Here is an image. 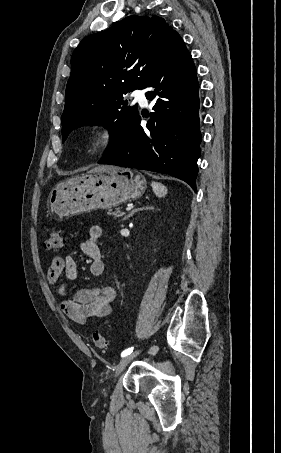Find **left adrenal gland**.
<instances>
[{
    "instance_id": "a2214340",
    "label": "left adrenal gland",
    "mask_w": 281,
    "mask_h": 453,
    "mask_svg": "<svg viewBox=\"0 0 281 453\" xmlns=\"http://www.w3.org/2000/svg\"><path fill=\"white\" fill-rule=\"evenodd\" d=\"M148 208H153V206H143V208H135V210H131L130 214H126V216H124L123 220H126V218H129V216H133L134 212H138V210H148Z\"/></svg>"
}]
</instances>
